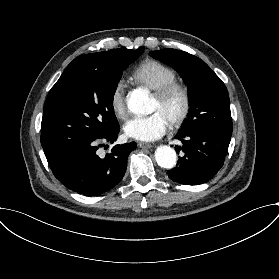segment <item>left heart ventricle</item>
<instances>
[{
	"mask_svg": "<svg viewBox=\"0 0 279 279\" xmlns=\"http://www.w3.org/2000/svg\"><path fill=\"white\" fill-rule=\"evenodd\" d=\"M181 110V100L178 96H173L168 100L159 101L155 96L152 101L151 111H161L170 123Z\"/></svg>",
	"mask_w": 279,
	"mask_h": 279,
	"instance_id": "b2bd125f",
	"label": "left heart ventricle"
}]
</instances>
